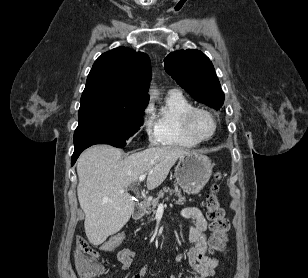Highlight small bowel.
I'll return each mask as SVG.
<instances>
[{
	"label": "small bowel",
	"mask_w": 308,
	"mask_h": 278,
	"mask_svg": "<svg viewBox=\"0 0 308 278\" xmlns=\"http://www.w3.org/2000/svg\"><path fill=\"white\" fill-rule=\"evenodd\" d=\"M181 216L189 223L188 240L192 244L187 251V260L194 275L189 278H210L214 275L215 269L219 264V260L215 257L207 255L208 222L203 213L193 206L184 207L181 210ZM135 256V251L130 248H123L117 253V259L121 263V268L124 272L128 271L132 266V260ZM177 261L182 260V255L176 256ZM105 270H103L104 273ZM148 272V267H141L131 278H145ZM102 273V274H103ZM169 278H177L172 275Z\"/></svg>",
	"instance_id": "small-bowel-1"
}]
</instances>
